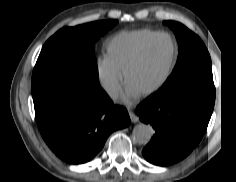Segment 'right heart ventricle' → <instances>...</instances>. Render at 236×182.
I'll list each match as a JSON object with an SVG mask.
<instances>
[{
    "label": "right heart ventricle",
    "instance_id": "e07e8e85",
    "mask_svg": "<svg viewBox=\"0 0 236 182\" xmlns=\"http://www.w3.org/2000/svg\"><path fill=\"white\" fill-rule=\"evenodd\" d=\"M150 36H152L150 31L120 33L110 43L106 59L118 69L125 70L135 53Z\"/></svg>",
    "mask_w": 236,
    "mask_h": 182
}]
</instances>
